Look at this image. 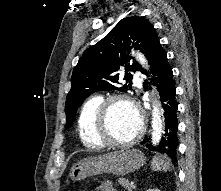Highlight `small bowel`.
Wrapping results in <instances>:
<instances>
[{
  "label": "small bowel",
  "instance_id": "obj_1",
  "mask_svg": "<svg viewBox=\"0 0 221 191\" xmlns=\"http://www.w3.org/2000/svg\"><path fill=\"white\" fill-rule=\"evenodd\" d=\"M100 191H117L115 186L110 181H103L99 185Z\"/></svg>",
  "mask_w": 221,
  "mask_h": 191
}]
</instances>
